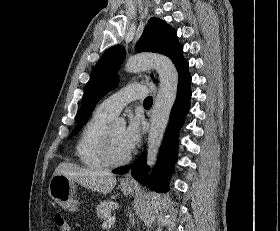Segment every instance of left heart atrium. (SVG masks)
I'll return each instance as SVG.
<instances>
[{"label": "left heart atrium", "instance_id": "1", "mask_svg": "<svg viewBox=\"0 0 280 231\" xmlns=\"http://www.w3.org/2000/svg\"><path fill=\"white\" fill-rule=\"evenodd\" d=\"M141 131L138 120L132 119L121 131L119 143L126 154L131 153L138 145Z\"/></svg>", "mask_w": 280, "mask_h": 231}]
</instances>
